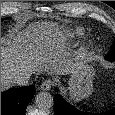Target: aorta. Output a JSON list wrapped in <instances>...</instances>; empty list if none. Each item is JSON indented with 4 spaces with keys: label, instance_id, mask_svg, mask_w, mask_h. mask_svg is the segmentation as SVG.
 <instances>
[{
    "label": "aorta",
    "instance_id": "obj_1",
    "mask_svg": "<svg viewBox=\"0 0 115 115\" xmlns=\"http://www.w3.org/2000/svg\"><path fill=\"white\" fill-rule=\"evenodd\" d=\"M35 104L40 109H50L53 104V96L48 92H40L35 97Z\"/></svg>",
    "mask_w": 115,
    "mask_h": 115
}]
</instances>
